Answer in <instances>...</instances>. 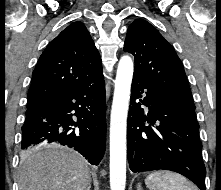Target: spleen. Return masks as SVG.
Listing matches in <instances>:
<instances>
[{"label":"spleen","mask_w":221,"mask_h":190,"mask_svg":"<svg viewBox=\"0 0 221 190\" xmlns=\"http://www.w3.org/2000/svg\"><path fill=\"white\" fill-rule=\"evenodd\" d=\"M145 184L149 190H199L185 177L170 171H155L150 173Z\"/></svg>","instance_id":"spleen-1"}]
</instances>
